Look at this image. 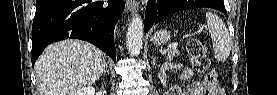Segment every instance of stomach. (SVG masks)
Listing matches in <instances>:
<instances>
[{"label":"stomach","mask_w":277,"mask_h":95,"mask_svg":"<svg viewBox=\"0 0 277 95\" xmlns=\"http://www.w3.org/2000/svg\"><path fill=\"white\" fill-rule=\"evenodd\" d=\"M152 40L156 45L165 44L170 40V33L167 30H159L154 33Z\"/></svg>","instance_id":"stomach-1"}]
</instances>
